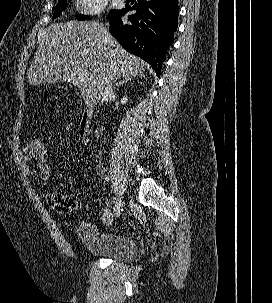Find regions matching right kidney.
I'll use <instances>...</instances> for the list:
<instances>
[{"label":"right kidney","instance_id":"1","mask_svg":"<svg viewBox=\"0 0 272 303\" xmlns=\"http://www.w3.org/2000/svg\"><path fill=\"white\" fill-rule=\"evenodd\" d=\"M127 101H128L127 96H124V97L121 99V103H122L123 105L126 104Z\"/></svg>","mask_w":272,"mask_h":303}]
</instances>
